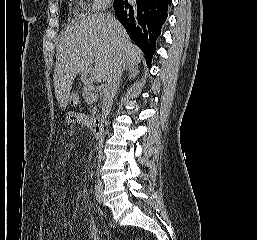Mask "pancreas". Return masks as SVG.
<instances>
[{
    "label": "pancreas",
    "instance_id": "obj_1",
    "mask_svg": "<svg viewBox=\"0 0 257 240\" xmlns=\"http://www.w3.org/2000/svg\"><path fill=\"white\" fill-rule=\"evenodd\" d=\"M82 95H83L84 100L88 103H93L97 100V96L92 93L90 86H84ZM92 95L96 98L93 99L91 97Z\"/></svg>",
    "mask_w": 257,
    "mask_h": 240
}]
</instances>
